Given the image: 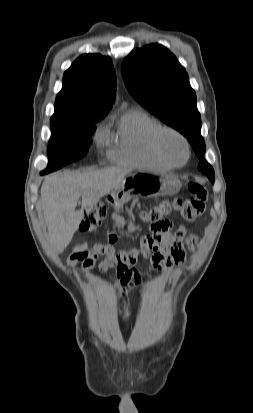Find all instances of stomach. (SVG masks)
<instances>
[{
    "label": "stomach",
    "mask_w": 253,
    "mask_h": 413,
    "mask_svg": "<svg viewBox=\"0 0 253 413\" xmlns=\"http://www.w3.org/2000/svg\"><path fill=\"white\" fill-rule=\"evenodd\" d=\"M181 188V181L175 176H162L137 172L127 178L114 189L107 198L108 202L122 205L133 197L151 198L174 195Z\"/></svg>",
    "instance_id": "1"
}]
</instances>
